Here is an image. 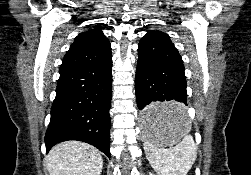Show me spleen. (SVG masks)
<instances>
[{
    "mask_svg": "<svg viewBox=\"0 0 251 175\" xmlns=\"http://www.w3.org/2000/svg\"><path fill=\"white\" fill-rule=\"evenodd\" d=\"M176 117L181 135L178 145L172 149H164L159 143L164 139L171 115ZM191 123L184 109H172L166 113H152L149 117V137L145 139L144 149L146 157L157 171L158 175H186L192 167L197 157V145L193 141L192 135H189Z\"/></svg>",
    "mask_w": 251,
    "mask_h": 175,
    "instance_id": "spleen-1",
    "label": "spleen"
}]
</instances>
